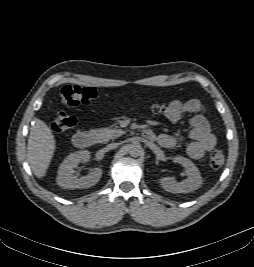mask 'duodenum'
Instances as JSON below:
<instances>
[{
	"mask_svg": "<svg viewBox=\"0 0 254 267\" xmlns=\"http://www.w3.org/2000/svg\"><path fill=\"white\" fill-rule=\"evenodd\" d=\"M142 136L148 140H154L155 136L150 130H143ZM95 136L89 131H79L73 136V143L76 147L84 149L95 144Z\"/></svg>",
	"mask_w": 254,
	"mask_h": 267,
	"instance_id": "1",
	"label": "duodenum"
}]
</instances>
